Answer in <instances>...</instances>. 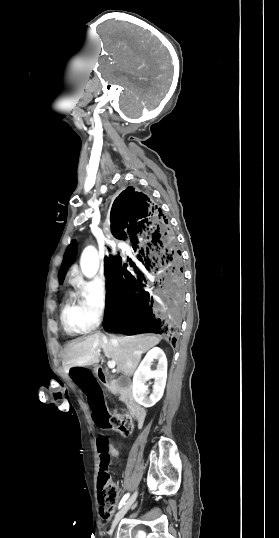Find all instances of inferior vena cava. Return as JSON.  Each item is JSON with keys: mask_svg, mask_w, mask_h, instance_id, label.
Returning <instances> with one entry per match:
<instances>
[{"mask_svg": "<svg viewBox=\"0 0 279 538\" xmlns=\"http://www.w3.org/2000/svg\"><path fill=\"white\" fill-rule=\"evenodd\" d=\"M111 343H112V345H114V346H117V345H118V341H117V339H115V340H114V339H113V340L111 339Z\"/></svg>", "mask_w": 279, "mask_h": 538, "instance_id": "obj_1", "label": "inferior vena cava"}]
</instances>
